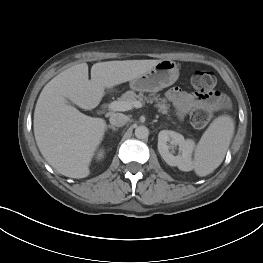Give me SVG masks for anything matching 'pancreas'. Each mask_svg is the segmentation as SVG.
I'll list each match as a JSON object with an SVG mask.
<instances>
[{
	"mask_svg": "<svg viewBox=\"0 0 263 263\" xmlns=\"http://www.w3.org/2000/svg\"><path fill=\"white\" fill-rule=\"evenodd\" d=\"M119 101L133 102V101H147L156 102L155 107L162 114L169 113V104H167L166 99L159 98L155 94H150L148 97L144 96L143 93L136 94L134 91H126L120 98Z\"/></svg>",
	"mask_w": 263,
	"mask_h": 263,
	"instance_id": "1",
	"label": "pancreas"
}]
</instances>
